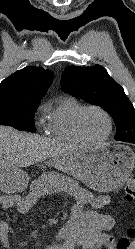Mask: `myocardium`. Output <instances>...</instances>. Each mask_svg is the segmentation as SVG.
<instances>
[{"label": "myocardium", "mask_w": 135, "mask_h": 249, "mask_svg": "<svg viewBox=\"0 0 135 249\" xmlns=\"http://www.w3.org/2000/svg\"><path fill=\"white\" fill-rule=\"evenodd\" d=\"M89 110H96V111L100 112L106 118V120L108 122V126H109L108 131H107L106 135L99 140L90 139L89 137H87L85 135V133L83 131L82 118L85 115V113ZM74 124H75V129H76L77 133L86 142V144L103 143L110 138V136L113 132V120H112L111 115L104 108H102L101 106H98V105L83 106L76 114Z\"/></svg>", "instance_id": "obj_1"}]
</instances>
